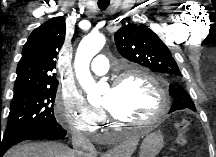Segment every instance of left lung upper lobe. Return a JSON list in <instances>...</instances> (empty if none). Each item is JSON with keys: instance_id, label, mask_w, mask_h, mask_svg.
<instances>
[{"instance_id": "1", "label": "left lung upper lobe", "mask_w": 216, "mask_h": 157, "mask_svg": "<svg viewBox=\"0 0 216 157\" xmlns=\"http://www.w3.org/2000/svg\"><path fill=\"white\" fill-rule=\"evenodd\" d=\"M116 48L127 60L149 68L154 72L181 76L168 47L150 28L145 25L128 24L114 34ZM173 103H183L186 108L195 111V105L188 93L176 85L169 86Z\"/></svg>"}]
</instances>
